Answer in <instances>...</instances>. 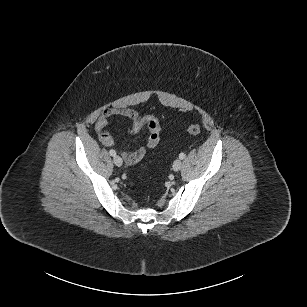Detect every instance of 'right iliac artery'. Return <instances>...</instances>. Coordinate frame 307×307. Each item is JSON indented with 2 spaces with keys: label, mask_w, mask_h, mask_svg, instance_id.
Returning a JSON list of instances; mask_svg holds the SVG:
<instances>
[{
  "label": "right iliac artery",
  "mask_w": 307,
  "mask_h": 307,
  "mask_svg": "<svg viewBox=\"0 0 307 307\" xmlns=\"http://www.w3.org/2000/svg\"><path fill=\"white\" fill-rule=\"evenodd\" d=\"M109 154H110L111 156H115V155H116V152H115V150L111 149V150L109 151Z\"/></svg>",
  "instance_id": "right-iliac-artery-1"
}]
</instances>
